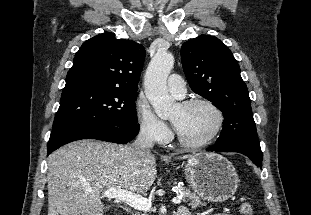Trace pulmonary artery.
<instances>
[{
	"label": "pulmonary artery",
	"instance_id": "1",
	"mask_svg": "<svg viewBox=\"0 0 311 215\" xmlns=\"http://www.w3.org/2000/svg\"><path fill=\"white\" fill-rule=\"evenodd\" d=\"M168 90L176 97V98H184L186 95V82L185 80L178 74H172L169 76L167 81Z\"/></svg>",
	"mask_w": 311,
	"mask_h": 215
}]
</instances>
